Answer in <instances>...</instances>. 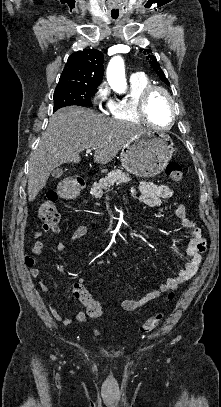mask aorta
I'll return each instance as SVG.
<instances>
[{"mask_svg": "<svg viewBox=\"0 0 221 407\" xmlns=\"http://www.w3.org/2000/svg\"><path fill=\"white\" fill-rule=\"evenodd\" d=\"M107 81L117 93H124L127 88L124 61L120 56L113 57L107 67Z\"/></svg>", "mask_w": 221, "mask_h": 407, "instance_id": "762f6f07", "label": "aorta"}]
</instances>
